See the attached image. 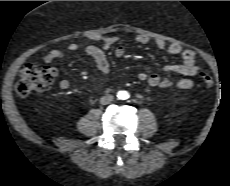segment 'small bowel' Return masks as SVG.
Segmentation results:
<instances>
[{
    "instance_id": "1",
    "label": "small bowel",
    "mask_w": 230,
    "mask_h": 186,
    "mask_svg": "<svg viewBox=\"0 0 230 186\" xmlns=\"http://www.w3.org/2000/svg\"><path fill=\"white\" fill-rule=\"evenodd\" d=\"M91 42H99L101 47L93 44H79L71 43L67 46L69 51H76L83 49L95 62L97 68L102 73H108L110 70V64L108 58L105 54V50L110 49L117 39L115 37H102L98 35H92L89 37ZM137 42L140 44H148L150 39L145 36H138ZM156 46L160 50L166 49V43L163 40H158ZM167 52L170 55L181 57L182 62L180 64H170L163 68L164 73L166 74H179L183 78L177 81L176 86L179 89L187 90L193 86V81L189 78L196 75L197 72L202 71L203 69L197 64V53L191 49H184L179 43H173L167 47ZM116 57H123L125 54V49L122 46H118L114 50ZM65 57V53L59 49H53L49 51L44 56V61L46 63H52L57 60H61ZM138 79L143 82H147L151 87H160L167 88L172 85V82L167 77H162L157 73H147L140 72L138 74ZM59 87L63 90L70 88V82L66 79H63L59 82Z\"/></svg>"
}]
</instances>
